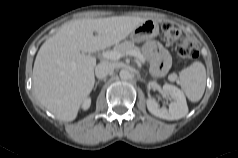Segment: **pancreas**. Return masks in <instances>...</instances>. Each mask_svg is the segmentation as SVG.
<instances>
[{
  "label": "pancreas",
  "mask_w": 238,
  "mask_h": 158,
  "mask_svg": "<svg viewBox=\"0 0 238 158\" xmlns=\"http://www.w3.org/2000/svg\"><path fill=\"white\" fill-rule=\"evenodd\" d=\"M113 51H117L123 55H125L127 51H135L141 54L140 48L135 46V44L132 41H124L120 44L115 45Z\"/></svg>",
  "instance_id": "pancreas-1"
}]
</instances>
